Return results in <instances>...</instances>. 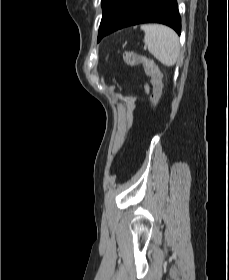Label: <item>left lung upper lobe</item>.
I'll list each match as a JSON object with an SVG mask.
<instances>
[{
  "mask_svg": "<svg viewBox=\"0 0 229 280\" xmlns=\"http://www.w3.org/2000/svg\"><path fill=\"white\" fill-rule=\"evenodd\" d=\"M128 0H101L103 16L98 38L101 37L119 18Z\"/></svg>",
  "mask_w": 229,
  "mask_h": 280,
  "instance_id": "5c2ea615",
  "label": "left lung upper lobe"
}]
</instances>
